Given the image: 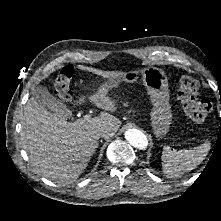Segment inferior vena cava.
Returning a JSON list of instances; mask_svg holds the SVG:
<instances>
[{"mask_svg": "<svg viewBox=\"0 0 221 221\" xmlns=\"http://www.w3.org/2000/svg\"><path fill=\"white\" fill-rule=\"evenodd\" d=\"M99 135L101 136V137H107V132L106 131H104V130H102V131H100V133H99Z\"/></svg>", "mask_w": 221, "mask_h": 221, "instance_id": "obj_1", "label": "inferior vena cava"}]
</instances>
